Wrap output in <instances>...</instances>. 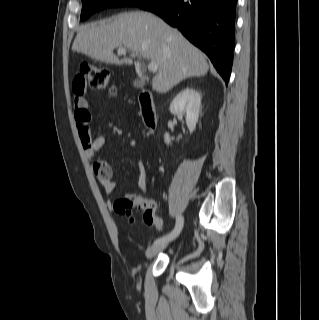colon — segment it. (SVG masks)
Listing matches in <instances>:
<instances>
[{
    "label": "colon",
    "mask_w": 319,
    "mask_h": 320,
    "mask_svg": "<svg viewBox=\"0 0 319 320\" xmlns=\"http://www.w3.org/2000/svg\"><path fill=\"white\" fill-rule=\"evenodd\" d=\"M87 84L95 90H104L112 93L115 91L110 70L101 68L90 62H83L80 65L79 74L74 79V87L80 89ZM83 129L86 133H89L88 122L83 124ZM95 167L100 168V165L97 164ZM104 168L110 170L108 164H105ZM139 205V199L120 198L114 202V210L119 214L131 216L132 209L134 207L138 208ZM143 218L147 224L154 225L157 229L163 228L162 220L155 213L145 211Z\"/></svg>",
    "instance_id": "obj_1"
}]
</instances>
